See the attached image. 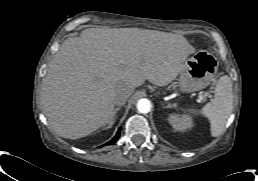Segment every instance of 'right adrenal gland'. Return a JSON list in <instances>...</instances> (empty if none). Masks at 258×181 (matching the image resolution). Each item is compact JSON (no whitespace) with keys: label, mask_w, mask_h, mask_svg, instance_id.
Wrapping results in <instances>:
<instances>
[{"label":"right adrenal gland","mask_w":258,"mask_h":181,"mask_svg":"<svg viewBox=\"0 0 258 181\" xmlns=\"http://www.w3.org/2000/svg\"><path fill=\"white\" fill-rule=\"evenodd\" d=\"M120 109H121V108L118 107V108H116V109L114 110V115H113L112 119L110 120L108 126H106L104 129H109V128L112 127V125H113L114 122H115L116 113H117Z\"/></svg>","instance_id":"obj_1"}]
</instances>
